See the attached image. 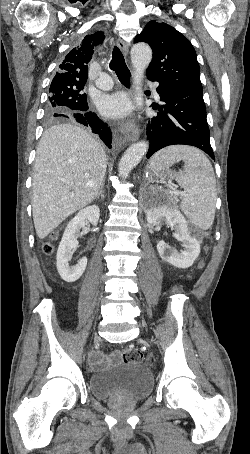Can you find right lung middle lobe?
<instances>
[{
	"label": "right lung middle lobe",
	"mask_w": 250,
	"mask_h": 454,
	"mask_svg": "<svg viewBox=\"0 0 250 454\" xmlns=\"http://www.w3.org/2000/svg\"><path fill=\"white\" fill-rule=\"evenodd\" d=\"M84 85L74 87L50 86L49 97L45 110L47 121H57L63 118L62 114H71L88 106L87 96L82 93Z\"/></svg>",
	"instance_id": "dd1d6c3e"
}]
</instances>
